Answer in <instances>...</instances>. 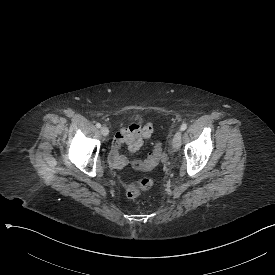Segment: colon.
<instances>
[{"label": "colon", "instance_id": "5ec220e1", "mask_svg": "<svg viewBox=\"0 0 275 275\" xmlns=\"http://www.w3.org/2000/svg\"><path fill=\"white\" fill-rule=\"evenodd\" d=\"M164 151V144L162 141L157 140L153 144V149L149 153L147 160L138 159L135 161L134 166L138 170H150L157 165L160 155ZM153 181L150 177L141 178L137 183L130 184L126 188V196L134 199L140 196L141 193L151 188Z\"/></svg>", "mask_w": 275, "mask_h": 275}]
</instances>
